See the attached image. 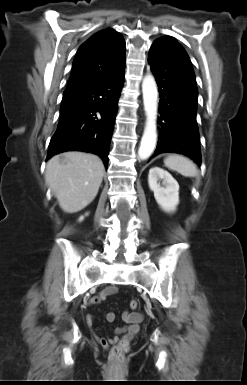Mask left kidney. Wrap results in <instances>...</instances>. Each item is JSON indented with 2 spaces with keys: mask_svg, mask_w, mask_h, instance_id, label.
I'll return each mask as SVG.
<instances>
[{
  "mask_svg": "<svg viewBox=\"0 0 247 385\" xmlns=\"http://www.w3.org/2000/svg\"><path fill=\"white\" fill-rule=\"evenodd\" d=\"M159 180H162L163 186L158 183ZM148 184L161 209L174 212L179 203V184L172 175L162 168L153 167L149 170Z\"/></svg>",
  "mask_w": 247,
  "mask_h": 385,
  "instance_id": "obj_1",
  "label": "left kidney"
}]
</instances>
